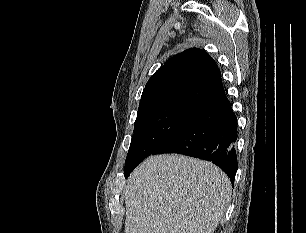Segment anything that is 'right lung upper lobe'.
<instances>
[{
    "label": "right lung upper lobe",
    "mask_w": 306,
    "mask_h": 233,
    "mask_svg": "<svg viewBox=\"0 0 306 233\" xmlns=\"http://www.w3.org/2000/svg\"><path fill=\"white\" fill-rule=\"evenodd\" d=\"M225 96L220 70L206 51L191 48L170 58L147 82L139 107L180 99L203 107Z\"/></svg>",
    "instance_id": "cb5924a9"
}]
</instances>
